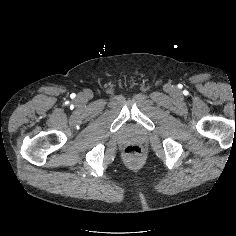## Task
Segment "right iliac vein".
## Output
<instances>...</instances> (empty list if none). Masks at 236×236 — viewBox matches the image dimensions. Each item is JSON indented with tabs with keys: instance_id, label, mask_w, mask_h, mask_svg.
<instances>
[{
	"instance_id": "63e3f726",
	"label": "right iliac vein",
	"mask_w": 236,
	"mask_h": 236,
	"mask_svg": "<svg viewBox=\"0 0 236 236\" xmlns=\"http://www.w3.org/2000/svg\"><path fill=\"white\" fill-rule=\"evenodd\" d=\"M85 98H86V96L83 95V94L78 96V99H79V100H84Z\"/></svg>"
}]
</instances>
